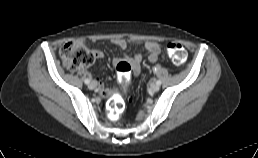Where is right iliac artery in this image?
<instances>
[{
	"mask_svg": "<svg viewBox=\"0 0 258 158\" xmlns=\"http://www.w3.org/2000/svg\"><path fill=\"white\" fill-rule=\"evenodd\" d=\"M85 84H89L90 83V80L89 79H85Z\"/></svg>",
	"mask_w": 258,
	"mask_h": 158,
	"instance_id": "obj_1",
	"label": "right iliac artery"
}]
</instances>
